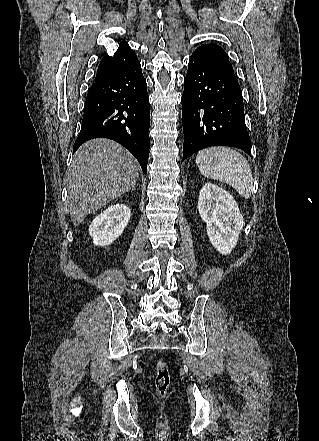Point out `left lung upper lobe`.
<instances>
[{
  "label": "left lung upper lobe",
  "instance_id": "1",
  "mask_svg": "<svg viewBox=\"0 0 319 441\" xmlns=\"http://www.w3.org/2000/svg\"><path fill=\"white\" fill-rule=\"evenodd\" d=\"M192 55L199 56L207 62L233 73V67L229 61L228 55L216 44L201 45Z\"/></svg>",
  "mask_w": 319,
  "mask_h": 441
}]
</instances>
